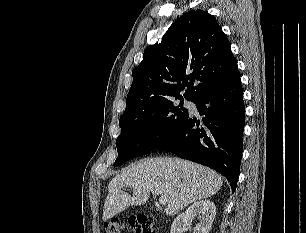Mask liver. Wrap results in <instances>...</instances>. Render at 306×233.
<instances>
[{
    "label": "liver",
    "mask_w": 306,
    "mask_h": 233,
    "mask_svg": "<svg viewBox=\"0 0 306 233\" xmlns=\"http://www.w3.org/2000/svg\"><path fill=\"white\" fill-rule=\"evenodd\" d=\"M222 184L217 172L187 160L144 159L110 181L102 218L107 221L130 206L144 205L151 193L166 197L165 212L175 215L189 204L216 194ZM128 187L132 196L122 190Z\"/></svg>",
    "instance_id": "obj_1"
}]
</instances>
